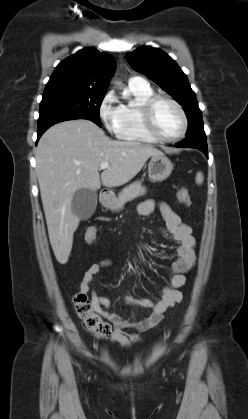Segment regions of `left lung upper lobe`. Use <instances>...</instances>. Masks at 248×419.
<instances>
[{"label": "left lung upper lobe", "instance_id": "5c2ea615", "mask_svg": "<svg viewBox=\"0 0 248 419\" xmlns=\"http://www.w3.org/2000/svg\"><path fill=\"white\" fill-rule=\"evenodd\" d=\"M125 58L134 70L158 84L184 108L188 119L186 137L205 133L196 95L187 76L170 56L158 48L143 46Z\"/></svg>", "mask_w": 248, "mask_h": 419}]
</instances>
